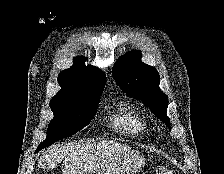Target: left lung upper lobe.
Returning <instances> with one entry per match:
<instances>
[{"instance_id":"5c2ea615","label":"left lung upper lobe","mask_w":224,"mask_h":174,"mask_svg":"<svg viewBox=\"0 0 224 174\" xmlns=\"http://www.w3.org/2000/svg\"><path fill=\"white\" fill-rule=\"evenodd\" d=\"M140 51H132L120 57L112 69L119 87L128 95L141 100L155 116L170 127L166 115L167 96L160 90L157 70L141 62Z\"/></svg>"}]
</instances>
